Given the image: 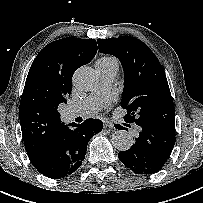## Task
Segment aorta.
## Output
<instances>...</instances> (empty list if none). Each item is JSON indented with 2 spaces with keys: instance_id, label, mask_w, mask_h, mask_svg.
Here are the masks:
<instances>
[{
  "instance_id": "aorta-1",
  "label": "aorta",
  "mask_w": 203,
  "mask_h": 203,
  "mask_svg": "<svg viewBox=\"0 0 203 203\" xmlns=\"http://www.w3.org/2000/svg\"><path fill=\"white\" fill-rule=\"evenodd\" d=\"M97 83V74L90 67H81L73 75V85L80 91H91ZM111 142L117 150L126 151L133 145V138L129 132L117 130L113 133Z\"/></svg>"
}]
</instances>
